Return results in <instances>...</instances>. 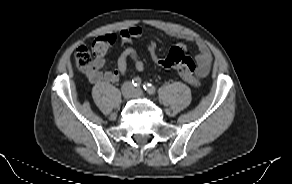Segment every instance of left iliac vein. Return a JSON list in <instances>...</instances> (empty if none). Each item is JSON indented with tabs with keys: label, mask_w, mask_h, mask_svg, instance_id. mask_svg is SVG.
<instances>
[{
	"label": "left iliac vein",
	"mask_w": 292,
	"mask_h": 184,
	"mask_svg": "<svg viewBox=\"0 0 292 184\" xmlns=\"http://www.w3.org/2000/svg\"><path fill=\"white\" fill-rule=\"evenodd\" d=\"M133 96L134 97H142L143 96V90L138 88V89H135L134 92H133Z\"/></svg>",
	"instance_id": "1"
}]
</instances>
